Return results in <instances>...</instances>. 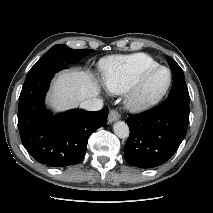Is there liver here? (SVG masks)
Returning <instances> with one entry per match:
<instances>
[{
	"mask_svg": "<svg viewBox=\"0 0 213 213\" xmlns=\"http://www.w3.org/2000/svg\"><path fill=\"white\" fill-rule=\"evenodd\" d=\"M99 93L100 86L90 72L66 71L54 80L49 102L57 111H62L95 98Z\"/></svg>",
	"mask_w": 213,
	"mask_h": 213,
	"instance_id": "1",
	"label": "liver"
}]
</instances>
